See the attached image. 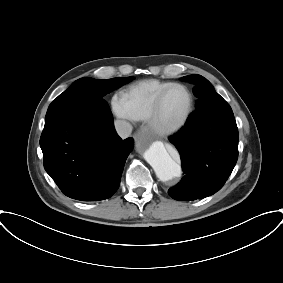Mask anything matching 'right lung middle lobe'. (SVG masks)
<instances>
[{
	"mask_svg": "<svg viewBox=\"0 0 283 283\" xmlns=\"http://www.w3.org/2000/svg\"><path fill=\"white\" fill-rule=\"evenodd\" d=\"M132 77L95 80L81 78L60 94L49 106L45 118L65 112L79 114L99 106L109 108L103 96L131 81Z\"/></svg>",
	"mask_w": 283,
	"mask_h": 283,
	"instance_id": "1",
	"label": "right lung middle lobe"
}]
</instances>
